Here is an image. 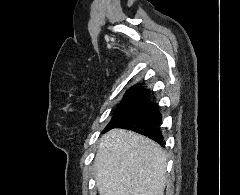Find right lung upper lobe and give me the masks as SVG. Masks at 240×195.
Wrapping results in <instances>:
<instances>
[{
	"label": "right lung upper lobe",
	"mask_w": 240,
	"mask_h": 195,
	"mask_svg": "<svg viewBox=\"0 0 240 195\" xmlns=\"http://www.w3.org/2000/svg\"><path fill=\"white\" fill-rule=\"evenodd\" d=\"M125 95H149L148 90H143L140 87H137L136 85L131 87Z\"/></svg>",
	"instance_id": "1"
}]
</instances>
